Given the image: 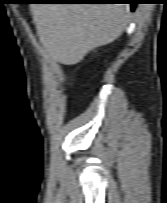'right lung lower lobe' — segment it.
I'll list each match as a JSON object with an SVG mask.
<instances>
[{"instance_id": "1", "label": "right lung lower lobe", "mask_w": 167, "mask_h": 203, "mask_svg": "<svg viewBox=\"0 0 167 203\" xmlns=\"http://www.w3.org/2000/svg\"><path fill=\"white\" fill-rule=\"evenodd\" d=\"M84 3H129L131 11L135 10L136 2L134 0H83Z\"/></svg>"}]
</instances>
